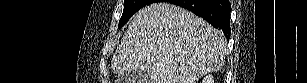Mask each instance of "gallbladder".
I'll return each instance as SVG.
<instances>
[{
    "label": "gallbladder",
    "mask_w": 307,
    "mask_h": 83,
    "mask_svg": "<svg viewBox=\"0 0 307 83\" xmlns=\"http://www.w3.org/2000/svg\"><path fill=\"white\" fill-rule=\"evenodd\" d=\"M118 82L122 83H149L150 75L144 70H135L119 77Z\"/></svg>",
    "instance_id": "1"
}]
</instances>
